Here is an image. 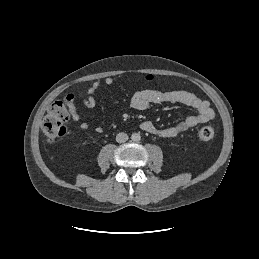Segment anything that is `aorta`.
Returning a JSON list of instances; mask_svg holds the SVG:
<instances>
[{"instance_id":"obj_1","label":"aorta","mask_w":259,"mask_h":259,"mask_svg":"<svg viewBox=\"0 0 259 259\" xmlns=\"http://www.w3.org/2000/svg\"><path fill=\"white\" fill-rule=\"evenodd\" d=\"M131 139H132V141L138 142V141H140L141 136H140V134H138V133H133V134L131 135Z\"/></svg>"}]
</instances>
